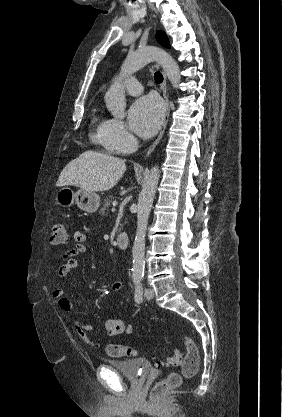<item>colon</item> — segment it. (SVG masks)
<instances>
[{"label":"colon","mask_w":282,"mask_h":417,"mask_svg":"<svg viewBox=\"0 0 282 417\" xmlns=\"http://www.w3.org/2000/svg\"><path fill=\"white\" fill-rule=\"evenodd\" d=\"M69 241V234L66 227L61 223H55L50 232V242L53 245H65ZM183 344L188 350L187 358H185V366L180 373L169 374L164 379H157L156 384L152 385V389H148L147 396L149 403H166V393H171L172 388L180 386L183 377L188 378L194 375L199 368L200 354L195 341L183 336ZM174 355L170 357L166 366L179 367V358L183 357L180 349L174 350ZM107 356H136L137 352L133 347H107Z\"/></svg>","instance_id":"1"}]
</instances>
